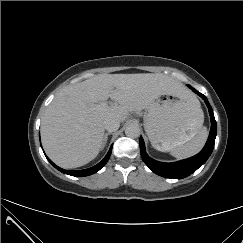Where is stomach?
I'll use <instances>...</instances> for the list:
<instances>
[{
  "instance_id": "obj_1",
  "label": "stomach",
  "mask_w": 243,
  "mask_h": 243,
  "mask_svg": "<svg viewBox=\"0 0 243 243\" xmlns=\"http://www.w3.org/2000/svg\"><path fill=\"white\" fill-rule=\"evenodd\" d=\"M200 110L192 94L158 97L144 115V128L152 146L165 152L191 140L203 124Z\"/></svg>"
}]
</instances>
